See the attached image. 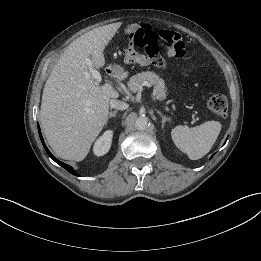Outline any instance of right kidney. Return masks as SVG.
I'll list each match as a JSON object with an SVG mask.
<instances>
[{
    "label": "right kidney",
    "mask_w": 261,
    "mask_h": 261,
    "mask_svg": "<svg viewBox=\"0 0 261 261\" xmlns=\"http://www.w3.org/2000/svg\"><path fill=\"white\" fill-rule=\"evenodd\" d=\"M113 132L111 130H107L104 134L95 142L93 147V152L96 156H103L106 154L112 142Z\"/></svg>",
    "instance_id": "obj_1"
}]
</instances>
